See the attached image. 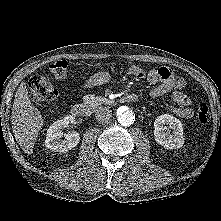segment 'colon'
Masks as SVG:
<instances>
[{
  "label": "colon",
  "instance_id": "colon-1",
  "mask_svg": "<svg viewBox=\"0 0 221 221\" xmlns=\"http://www.w3.org/2000/svg\"><path fill=\"white\" fill-rule=\"evenodd\" d=\"M51 73L57 79H64L68 71V62L58 60L49 65ZM141 77V76H140ZM31 98L35 102H49L56 98L57 90L50 81L43 75H35L29 82ZM190 90V86L187 87ZM211 118L209 108L202 104L197 110V120L201 125L209 123Z\"/></svg>",
  "mask_w": 221,
  "mask_h": 221
}]
</instances>
